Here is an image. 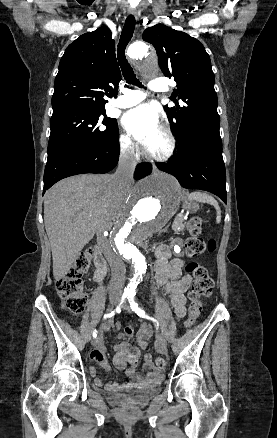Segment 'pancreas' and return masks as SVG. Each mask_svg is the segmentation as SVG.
<instances>
[{
	"label": "pancreas",
	"instance_id": "pancreas-1",
	"mask_svg": "<svg viewBox=\"0 0 277 438\" xmlns=\"http://www.w3.org/2000/svg\"><path fill=\"white\" fill-rule=\"evenodd\" d=\"M173 226H172V231L174 233H181L182 232V225L180 223H185L186 222V215L185 214H174L173 215ZM184 226V224H183Z\"/></svg>",
	"mask_w": 277,
	"mask_h": 438
}]
</instances>
